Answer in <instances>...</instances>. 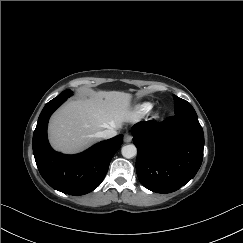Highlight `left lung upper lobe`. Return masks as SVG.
<instances>
[{
  "mask_svg": "<svg viewBox=\"0 0 243 243\" xmlns=\"http://www.w3.org/2000/svg\"><path fill=\"white\" fill-rule=\"evenodd\" d=\"M173 98L175 100V114L197 118V114L189 102L175 95Z\"/></svg>",
  "mask_w": 243,
  "mask_h": 243,
  "instance_id": "1",
  "label": "left lung upper lobe"
}]
</instances>
